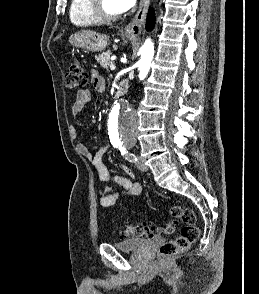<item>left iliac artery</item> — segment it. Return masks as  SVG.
<instances>
[{"label":"left iliac artery","instance_id":"1","mask_svg":"<svg viewBox=\"0 0 259 294\" xmlns=\"http://www.w3.org/2000/svg\"><path fill=\"white\" fill-rule=\"evenodd\" d=\"M120 150L122 151L121 153H122V155H124L125 153H126V151H125V148L124 147H121V145H120ZM136 161L137 159L135 158V157H133L132 158V161Z\"/></svg>","mask_w":259,"mask_h":294}]
</instances>
